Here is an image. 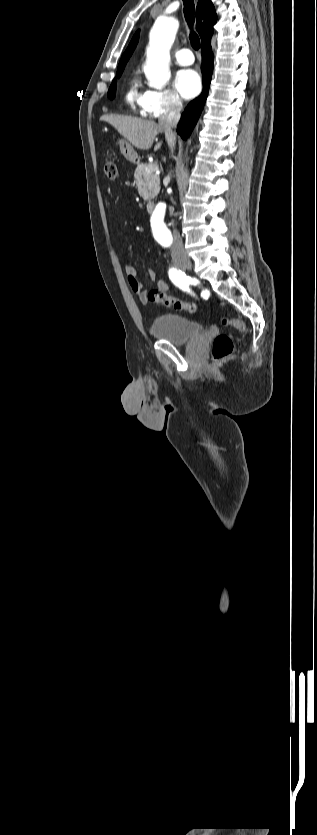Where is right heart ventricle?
Here are the masks:
<instances>
[{
    "mask_svg": "<svg viewBox=\"0 0 317 835\" xmlns=\"http://www.w3.org/2000/svg\"><path fill=\"white\" fill-rule=\"evenodd\" d=\"M145 92L140 90V84L136 77H132L126 89L125 99L127 103L135 109L136 106L141 108Z\"/></svg>",
    "mask_w": 317,
    "mask_h": 835,
    "instance_id": "1",
    "label": "right heart ventricle"
}]
</instances>
